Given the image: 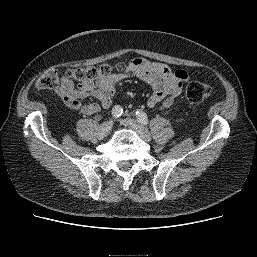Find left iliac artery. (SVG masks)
<instances>
[{
    "mask_svg": "<svg viewBox=\"0 0 257 257\" xmlns=\"http://www.w3.org/2000/svg\"><path fill=\"white\" fill-rule=\"evenodd\" d=\"M136 116H137V120L141 123V124H144V125H147L148 124V117L147 115L142 112V111H137L136 112Z\"/></svg>",
    "mask_w": 257,
    "mask_h": 257,
    "instance_id": "left-iliac-artery-1",
    "label": "left iliac artery"
}]
</instances>
